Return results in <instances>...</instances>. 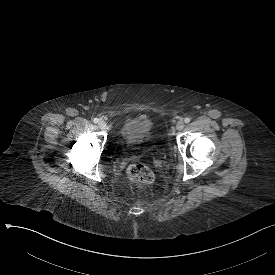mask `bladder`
I'll use <instances>...</instances> for the list:
<instances>
[{"label": "bladder", "instance_id": "1", "mask_svg": "<svg viewBox=\"0 0 275 275\" xmlns=\"http://www.w3.org/2000/svg\"><path fill=\"white\" fill-rule=\"evenodd\" d=\"M153 128L151 121L146 116H133L121 126L117 140L136 147L141 143L152 142Z\"/></svg>", "mask_w": 275, "mask_h": 275}]
</instances>
